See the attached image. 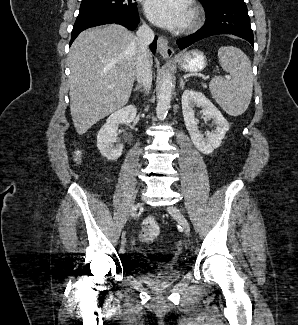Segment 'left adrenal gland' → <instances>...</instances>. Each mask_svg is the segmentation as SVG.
Returning a JSON list of instances; mask_svg holds the SVG:
<instances>
[{
  "label": "left adrenal gland",
  "mask_w": 298,
  "mask_h": 325,
  "mask_svg": "<svg viewBox=\"0 0 298 325\" xmlns=\"http://www.w3.org/2000/svg\"><path fill=\"white\" fill-rule=\"evenodd\" d=\"M185 82H187L186 78H180V88H182V90L185 86Z\"/></svg>",
  "instance_id": "obj_1"
}]
</instances>
